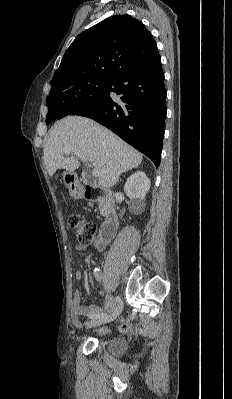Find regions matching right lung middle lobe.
<instances>
[{"instance_id":"right-lung-middle-lobe-1","label":"right lung middle lobe","mask_w":232,"mask_h":399,"mask_svg":"<svg viewBox=\"0 0 232 399\" xmlns=\"http://www.w3.org/2000/svg\"><path fill=\"white\" fill-rule=\"evenodd\" d=\"M109 83L110 79L91 80L75 85L63 93L49 95L46 101V124L56 120L62 113L97 103L105 96Z\"/></svg>"}]
</instances>
